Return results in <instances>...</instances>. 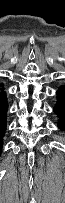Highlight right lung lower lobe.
<instances>
[{
    "instance_id": "1",
    "label": "right lung lower lobe",
    "mask_w": 65,
    "mask_h": 203,
    "mask_svg": "<svg viewBox=\"0 0 65 203\" xmlns=\"http://www.w3.org/2000/svg\"><path fill=\"white\" fill-rule=\"evenodd\" d=\"M7 112H8V103L6 99V94L2 85L0 84V155L3 147V136L6 132L7 127Z\"/></svg>"
}]
</instances>
